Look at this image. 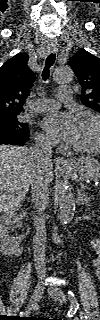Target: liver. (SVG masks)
Segmentation results:
<instances>
[{"mask_svg":"<svg viewBox=\"0 0 100 320\" xmlns=\"http://www.w3.org/2000/svg\"><path fill=\"white\" fill-rule=\"evenodd\" d=\"M37 162L30 149L22 146H0V208L15 211L21 207L36 172ZM45 167L47 180H53V164Z\"/></svg>","mask_w":100,"mask_h":320,"instance_id":"6515ba94","label":"liver"}]
</instances>
